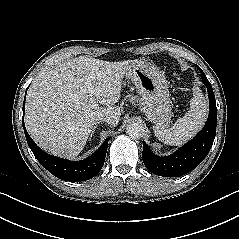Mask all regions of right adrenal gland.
<instances>
[{
	"label": "right adrenal gland",
	"mask_w": 239,
	"mask_h": 239,
	"mask_svg": "<svg viewBox=\"0 0 239 239\" xmlns=\"http://www.w3.org/2000/svg\"><path fill=\"white\" fill-rule=\"evenodd\" d=\"M98 124H99V122L93 123V127H92V131H91L89 140H91L92 136H94V133H95L96 128L98 127Z\"/></svg>",
	"instance_id": "1"
}]
</instances>
